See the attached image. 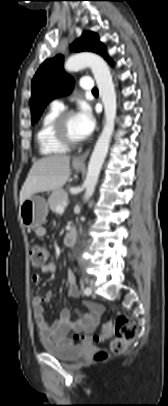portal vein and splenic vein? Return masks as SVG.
I'll use <instances>...</instances> for the list:
<instances>
[{
	"label": "portal vein and splenic vein",
	"instance_id": "18ae733b",
	"mask_svg": "<svg viewBox=\"0 0 168 406\" xmlns=\"http://www.w3.org/2000/svg\"><path fill=\"white\" fill-rule=\"evenodd\" d=\"M66 206H67L66 203H64L63 205H58L56 211L59 213H63Z\"/></svg>",
	"mask_w": 168,
	"mask_h": 406
}]
</instances>
